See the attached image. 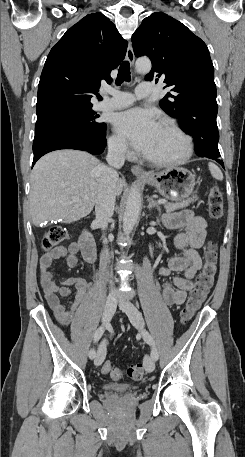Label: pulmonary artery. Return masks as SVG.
Returning <instances> with one entry per match:
<instances>
[{"label":"pulmonary artery","mask_w":245,"mask_h":457,"mask_svg":"<svg viewBox=\"0 0 245 457\" xmlns=\"http://www.w3.org/2000/svg\"><path fill=\"white\" fill-rule=\"evenodd\" d=\"M105 92L112 97L104 99L96 104L97 110H115L129 106L134 102V98L130 93L115 91L111 88H105ZM135 93L139 100H146L148 95L154 93L152 80H140L139 86H136Z\"/></svg>","instance_id":"pulmonary-artery-1"}]
</instances>
